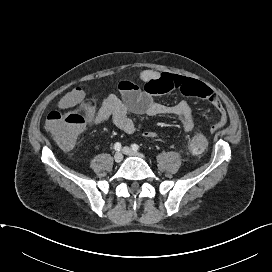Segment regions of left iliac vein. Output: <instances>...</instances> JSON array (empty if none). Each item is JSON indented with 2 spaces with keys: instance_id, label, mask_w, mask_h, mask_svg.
Returning a JSON list of instances; mask_svg holds the SVG:
<instances>
[{
  "instance_id": "obj_1",
  "label": "left iliac vein",
  "mask_w": 272,
  "mask_h": 272,
  "mask_svg": "<svg viewBox=\"0 0 272 272\" xmlns=\"http://www.w3.org/2000/svg\"><path fill=\"white\" fill-rule=\"evenodd\" d=\"M122 151L125 155H128V156H136V157H140V158H145V156L143 154H141V153H139L129 147H124Z\"/></svg>"
}]
</instances>
